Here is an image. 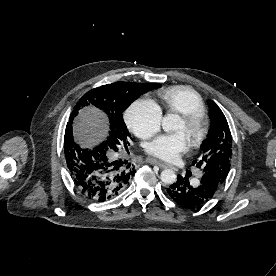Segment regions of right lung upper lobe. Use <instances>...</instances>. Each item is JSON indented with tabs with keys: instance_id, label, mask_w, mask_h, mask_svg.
I'll list each match as a JSON object with an SVG mask.
<instances>
[{
	"instance_id": "1",
	"label": "right lung upper lobe",
	"mask_w": 276,
	"mask_h": 276,
	"mask_svg": "<svg viewBox=\"0 0 276 276\" xmlns=\"http://www.w3.org/2000/svg\"><path fill=\"white\" fill-rule=\"evenodd\" d=\"M123 145H124V144H123ZM123 145H122V146H123ZM118 146H119V145H118ZM124 146H127V145H124ZM115 148H116V146L113 147V149H115Z\"/></svg>"
}]
</instances>
